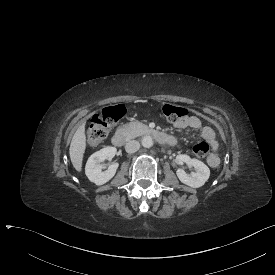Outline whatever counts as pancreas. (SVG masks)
I'll return each instance as SVG.
<instances>
[{"label": "pancreas", "mask_w": 275, "mask_h": 275, "mask_svg": "<svg viewBox=\"0 0 275 275\" xmlns=\"http://www.w3.org/2000/svg\"><path fill=\"white\" fill-rule=\"evenodd\" d=\"M149 127L139 121H133L128 124L119 127L116 133L121 134L126 137L127 140L136 138L143 134L148 133Z\"/></svg>", "instance_id": "cf45deb5"}]
</instances>
